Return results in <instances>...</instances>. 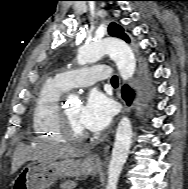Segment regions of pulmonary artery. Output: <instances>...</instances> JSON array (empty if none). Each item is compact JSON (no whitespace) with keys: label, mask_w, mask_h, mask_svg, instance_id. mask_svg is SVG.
Returning a JSON list of instances; mask_svg holds the SVG:
<instances>
[{"label":"pulmonary artery","mask_w":188,"mask_h":189,"mask_svg":"<svg viewBox=\"0 0 188 189\" xmlns=\"http://www.w3.org/2000/svg\"><path fill=\"white\" fill-rule=\"evenodd\" d=\"M112 79L110 68L105 64L78 70H67L55 76V80L66 90L73 87H87Z\"/></svg>","instance_id":"obj_1"}]
</instances>
